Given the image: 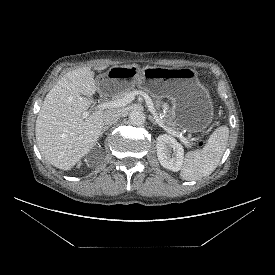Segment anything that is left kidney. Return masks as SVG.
Returning a JSON list of instances; mask_svg holds the SVG:
<instances>
[{"instance_id": "1", "label": "left kidney", "mask_w": 275, "mask_h": 275, "mask_svg": "<svg viewBox=\"0 0 275 275\" xmlns=\"http://www.w3.org/2000/svg\"><path fill=\"white\" fill-rule=\"evenodd\" d=\"M156 149L158 160L164 168L174 172L181 169L184 159V149L172 136L167 134L159 135Z\"/></svg>"}]
</instances>
